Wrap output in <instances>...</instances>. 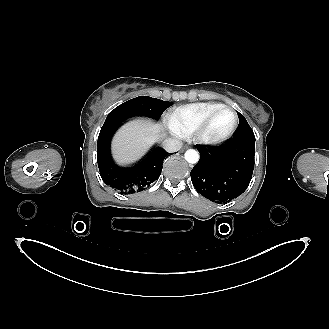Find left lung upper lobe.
Instances as JSON below:
<instances>
[{"label":"left lung upper lobe","mask_w":329,"mask_h":329,"mask_svg":"<svg viewBox=\"0 0 329 329\" xmlns=\"http://www.w3.org/2000/svg\"><path fill=\"white\" fill-rule=\"evenodd\" d=\"M237 113H238V117H239V127L237 128V131L234 134L233 139L239 138V137L255 138L253 130L247 123L245 117L242 114H240L239 112H237Z\"/></svg>","instance_id":"left-lung-upper-lobe-1"}]
</instances>
